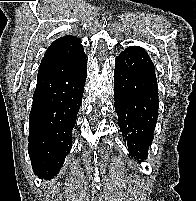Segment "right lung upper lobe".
<instances>
[{"label":"right lung upper lobe","mask_w":196,"mask_h":201,"mask_svg":"<svg viewBox=\"0 0 196 201\" xmlns=\"http://www.w3.org/2000/svg\"><path fill=\"white\" fill-rule=\"evenodd\" d=\"M81 40L72 35H66L55 40L44 54L42 62L67 60L81 61L86 58ZM41 62V63H42Z\"/></svg>","instance_id":"1"}]
</instances>
